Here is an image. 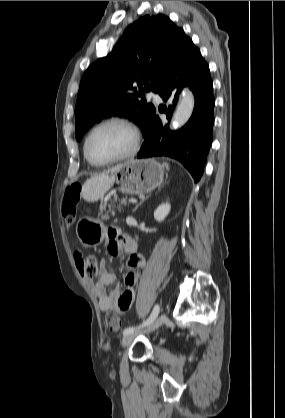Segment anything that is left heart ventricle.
Instances as JSON below:
<instances>
[{"label":"left heart ventricle","instance_id":"left-heart-ventricle-1","mask_svg":"<svg viewBox=\"0 0 285 418\" xmlns=\"http://www.w3.org/2000/svg\"><path fill=\"white\" fill-rule=\"evenodd\" d=\"M133 135L126 127L110 124L96 130L88 142L89 156L95 161H105L130 150Z\"/></svg>","mask_w":285,"mask_h":418}]
</instances>
